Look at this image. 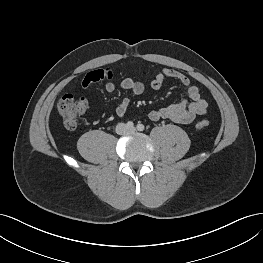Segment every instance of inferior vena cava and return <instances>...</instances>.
Wrapping results in <instances>:
<instances>
[{
    "instance_id": "inferior-vena-cava-1",
    "label": "inferior vena cava",
    "mask_w": 263,
    "mask_h": 263,
    "mask_svg": "<svg viewBox=\"0 0 263 263\" xmlns=\"http://www.w3.org/2000/svg\"><path fill=\"white\" fill-rule=\"evenodd\" d=\"M127 131V128H126V125L124 123H119L117 126H116V132L118 134H123Z\"/></svg>"
}]
</instances>
